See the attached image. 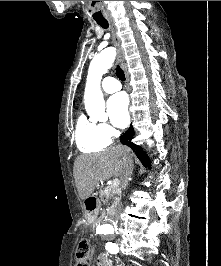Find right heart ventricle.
<instances>
[{
  "instance_id": "e07e8e85",
  "label": "right heart ventricle",
  "mask_w": 221,
  "mask_h": 266,
  "mask_svg": "<svg viewBox=\"0 0 221 266\" xmlns=\"http://www.w3.org/2000/svg\"><path fill=\"white\" fill-rule=\"evenodd\" d=\"M75 141L78 149L83 153H96L104 150L110 140L101 132L100 124L80 115L75 130Z\"/></svg>"
}]
</instances>
